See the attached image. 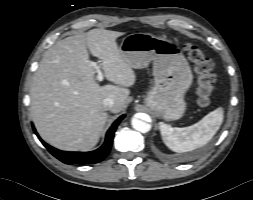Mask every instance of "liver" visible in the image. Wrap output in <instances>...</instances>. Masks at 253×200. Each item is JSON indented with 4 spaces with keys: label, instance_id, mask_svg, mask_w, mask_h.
Segmentation results:
<instances>
[{
    "label": "liver",
    "instance_id": "6515ba94",
    "mask_svg": "<svg viewBox=\"0 0 253 200\" xmlns=\"http://www.w3.org/2000/svg\"><path fill=\"white\" fill-rule=\"evenodd\" d=\"M123 34L92 29L62 39L44 53L32 80L30 113L47 143L87 151L98 143L108 118L103 100H114L113 113L123 110L136 80L116 43ZM89 52L100 59L106 79L118 86L99 85Z\"/></svg>",
    "mask_w": 253,
    "mask_h": 200
}]
</instances>
